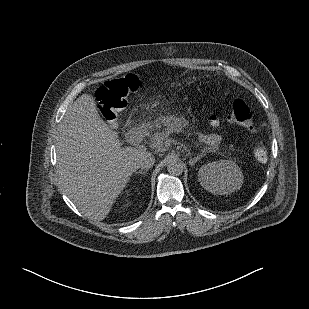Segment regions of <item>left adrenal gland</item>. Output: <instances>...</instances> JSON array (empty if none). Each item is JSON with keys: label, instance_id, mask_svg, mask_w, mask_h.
Masks as SVG:
<instances>
[{"label": "left adrenal gland", "instance_id": "obj_1", "mask_svg": "<svg viewBox=\"0 0 309 309\" xmlns=\"http://www.w3.org/2000/svg\"><path fill=\"white\" fill-rule=\"evenodd\" d=\"M202 156H203V154H200V155H198V156H196V157H194V158L190 157L189 164L193 167V166L196 164V162H197L198 160H200V158H201Z\"/></svg>", "mask_w": 309, "mask_h": 309}]
</instances>
